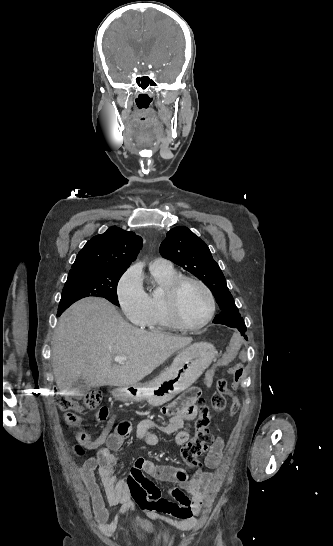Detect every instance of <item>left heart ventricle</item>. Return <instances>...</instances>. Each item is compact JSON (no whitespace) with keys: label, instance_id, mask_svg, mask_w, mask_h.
I'll use <instances>...</instances> for the list:
<instances>
[{"label":"left heart ventricle","instance_id":"left-heart-ventricle-1","mask_svg":"<svg viewBox=\"0 0 333 546\" xmlns=\"http://www.w3.org/2000/svg\"><path fill=\"white\" fill-rule=\"evenodd\" d=\"M178 309L186 323L198 324L205 318L209 309L207 295L197 284L186 283L179 292Z\"/></svg>","mask_w":333,"mask_h":546}]
</instances>
